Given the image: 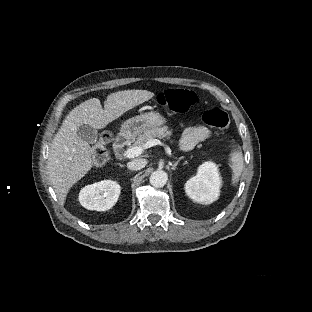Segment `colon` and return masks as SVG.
I'll return each mask as SVG.
<instances>
[{"label":"colon","instance_id":"colon-1","mask_svg":"<svg viewBox=\"0 0 312 312\" xmlns=\"http://www.w3.org/2000/svg\"><path fill=\"white\" fill-rule=\"evenodd\" d=\"M156 101L163 107L170 109L176 114L187 113L191 106L198 105L194 92L184 89H170L160 92ZM202 120L207 125L226 129L229 124V116L220 108L206 110L202 115ZM113 140V133L110 129H103L94 146L92 161L96 165H103L109 159V147Z\"/></svg>","mask_w":312,"mask_h":312}]
</instances>
